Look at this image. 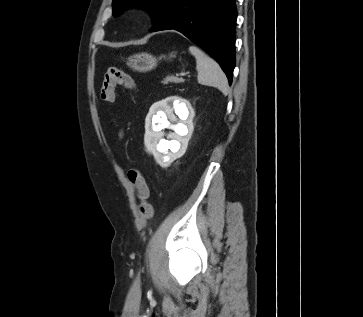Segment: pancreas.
I'll use <instances>...</instances> for the list:
<instances>
[{
    "mask_svg": "<svg viewBox=\"0 0 363 317\" xmlns=\"http://www.w3.org/2000/svg\"><path fill=\"white\" fill-rule=\"evenodd\" d=\"M164 84H167V83H180V82H183V79H180L178 77H175V76H167L163 81H162Z\"/></svg>",
    "mask_w": 363,
    "mask_h": 317,
    "instance_id": "1",
    "label": "pancreas"
}]
</instances>
